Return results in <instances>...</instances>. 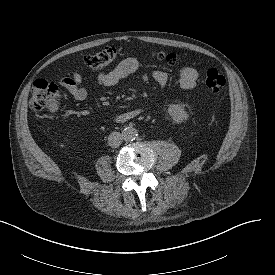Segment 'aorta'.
Listing matches in <instances>:
<instances>
[{
	"label": "aorta",
	"instance_id": "762f6f07",
	"mask_svg": "<svg viewBox=\"0 0 275 275\" xmlns=\"http://www.w3.org/2000/svg\"><path fill=\"white\" fill-rule=\"evenodd\" d=\"M138 136V131L134 127H126L122 131V137L125 141H133Z\"/></svg>",
	"mask_w": 275,
	"mask_h": 275
}]
</instances>
